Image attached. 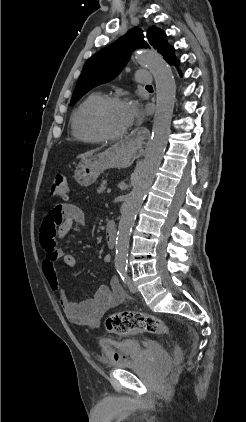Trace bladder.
Wrapping results in <instances>:
<instances>
[{"mask_svg": "<svg viewBox=\"0 0 246 422\" xmlns=\"http://www.w3.org/2000/svg\"><path fill=\"white\" fill-rule=\"evenodd\" d=\"M102 350L111 366L127 368L137 363L142 346L137 339L127 338L109 340L103 345ZM151 351L158 367L164 369L169 365V356L163 349L153 347Z\"/></svg>", "mask_w": 246, "mask_h": 422, "instance_id": "1", "label": "bladder"}]
</instances>
